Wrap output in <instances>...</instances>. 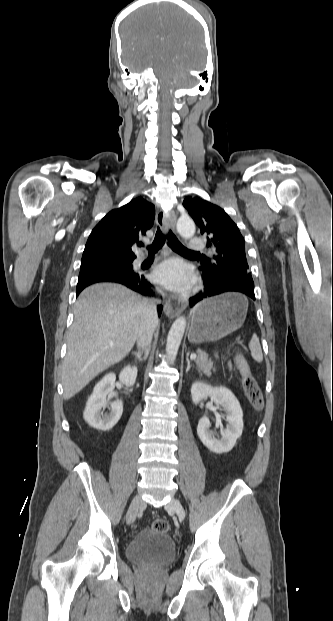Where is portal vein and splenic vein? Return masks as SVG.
<instances>
[{"instance_id":"portal-vein-and-splenic-vein-1","label":"portal vein and splenic vein","mask_w":333,"mask_h":621,"mask_svg":"<svg viewBox=\"0 0 333 621\" xmlns=\"http://www.w3.org/2000/svg\"><path fill=\"white\" fill-rule=\"evenodd\" d=\"M197 357H198V356H197L196 354H191V355H190V358H191L192 360H195Z\"/></svg>"}]
</instances>
